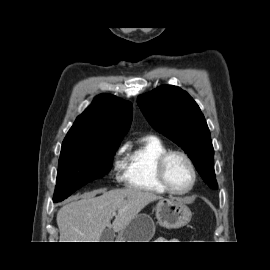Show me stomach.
Returning a JSON list of instances; mask_svg holds the SVG:
<instances>
[{
    "instance_id": "0dacf381",
    "label": "stomach",
    "mask_w": 270,
    "mask_h": 270,
    "mask_svg": "<svg viewBox=\"0 0 270 270\" xmlns=\"http://www.w3.org/2000/svg\"><path fill=\"white\" fill-rule=\"evenodd\" d=\"M156 218L165 228L177 229L187 225L192 213L183 202L173 199H161L155 207ZM155 225L151 217L140 213L122 229L117 237L118 242H149L154 234Z\"/></svg>"
}]
</instances>
